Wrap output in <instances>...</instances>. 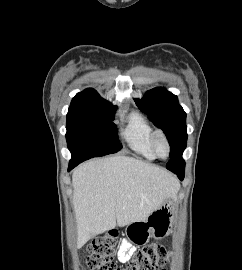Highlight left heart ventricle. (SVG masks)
Masks as SVG:
<instances>
[{
  "mask_svg": "<svg viewBox=\"0 0 242 270\" xmlns=\"http://www.w3.org/2000/svg\"><path fill=\"white\" fill-rule=\"evenodd\" d=\"M160 155L165 156L167 153L166 145L163 141H159L157 144Z\"/></svg>",
  "mask_w": 242,
  "mask_h": 270,
  "instance_id": "obj_1",
  "label": "left heart ventricle"
}]
</instances>
